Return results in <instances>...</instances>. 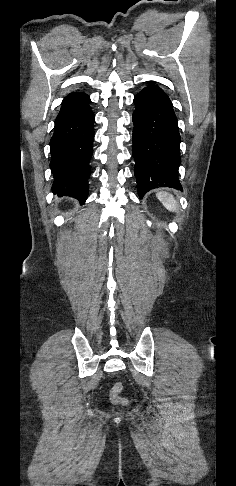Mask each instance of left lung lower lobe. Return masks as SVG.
<instances>
[{
  "instance_id": "0a47b994",
  "label": "left lung lower lobe",
  "mask_w": 236,
  "mask_h": 486,
  "mask_svg": "<svg viewBox=\"0 0 236 486\" xmlns=\"http://www.w3.org/2000/svg\"><path fill=\"white\" fill-rule=\"evenodd\" d=\"M134 98V174L139 197L158 187L182 189L178 179L181 163L180 134L168 95L151 83Z\"/></svg>"
}]
</instances>
